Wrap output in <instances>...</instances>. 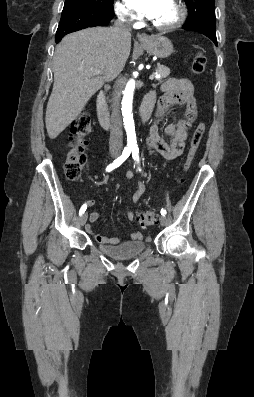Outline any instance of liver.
I'll use <instances>...</instances> for the list:
<instances>
[{
	"label": "liver",
	"instance_id": "1",
	"mask_svg": "<svg viewBox=\"0 0 254 397\" xmlns=\"http://www.w3.org/2000/svg\"><path fill=\"white\" fill-rule=\"evenodd\" d=\"M113 27H93L66 35L56 46L54 84L45 123L55 139L84 109L89 99L120 72L129 58L131 38L118 41ZM101 70L102 73H93Z\"/></svg>",
	"mask_w": 254,
	"mask_h": 397
}]
</instances>
